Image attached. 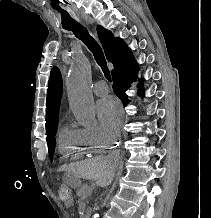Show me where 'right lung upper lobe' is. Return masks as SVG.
Here are the masks:
<instances>
[{"mask_svg": "<svg viewBox=\"0 0 211 218\" xmlns=\"http://www.w3.org/2000/svg\"><path fill=\"white\" fill-rule=\"evenodd\" d=\"M99 40L105 51L108 61L114 66L132 57V53L126 44L119 38H114L113 34L98 26ZM62 96V78L57 67H53L50 74L47 93V114H46V134H50L58 122L60 100Z\"/></svg>", "mask_w": 211, "mask_h": 218, "instance_id": "obj_1", "label": "right lung upper lobe"}]
</instances>
